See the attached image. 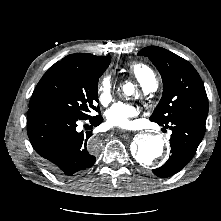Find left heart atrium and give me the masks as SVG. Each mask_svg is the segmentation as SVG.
<instances>
[{
  "instance_id": "39dd6f15",
  "label": "left heart atrium",
  "mask_w": 221,
  "mask_h": 221,
  "mask_svg": "<svg viewBox=\"0 0 221 221\" xmlns=\"http://www.w3.org/2000/svg\"><path fill=\"white\" fill-rule=\"evenodd\" d=\"M137 114L138 109L134 105L118 102L106 111V123L111 127L130 128L132 126L131 119Z\"/></svg>"
}]
</instances>
